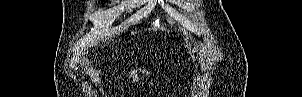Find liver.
Masks as SVG:
<instances>
[{
    "instance_id": "6515ba94",
    "label": "liver",
    "mask_w": 302,
    "mask_h": 97,
    "mask_svg": "<svg viewBox=\"0 0 302 97\" xmlns=\"http://www.w3.org/2000/svg\"><path fill=\"white\" fill-rule=\"evenodd\" d=\"M131 74L133 75V74H134V71H132Z\"/></svg>"
}]
</instances>
